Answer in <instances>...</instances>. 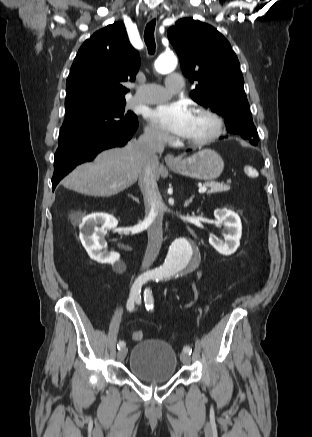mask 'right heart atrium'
Masks as SVG:
<instances>
[{
    "instance_id": "obj_1",
    "label": "right heart atrium",
    "mask_w": 312,
    "mask_h": 437,
    "mask_svg": "<svg viewBox=\"0 0 312 437\" xmlns=\"http://www.w3.org/2000/svg\"><path fill=\"white\" fill-rule=\"evenodd\" d=\"M145 136L152 142L159 144H163L169 140V137L164 132L152 124L146 127Z\"/></svg>"
}]
</instances>
